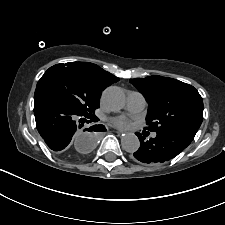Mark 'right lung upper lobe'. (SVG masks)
<instances>
[{
  "label": "right lung upper lobe",
  "mask_w": 225,
  "mask_h": 225,
  "mask_svg": "<svg viewBox=\"0 0 225 225\" xmlns=\"http://www.w3.org/2000/svg\"><path fill=\"white\" fill-rule=\"evenodd\" d=\"M65 65L82 74L99 92H102L107 86L119 80L118 77L110 74L93 63L70 62Z\"/></svg>",
  "instance_id": "right-lung-upper-lobe-1"
}]
</instances>
